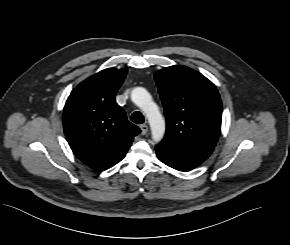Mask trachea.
Instances as JSON below:
<instances>
[{"instance_id": "trachea-1", "label": "trachea", "mask_w": 290, "mask_h": 245, "mask_svg": "<svg viewBox=\"0 0 290 245\" xmlns=\"http://www.w3.org/2000/svg\"><path fill=\"white\" fill-rule=\"evenodd\" d=\"M130 120L136 124H142L144 123V116L141 112L136 111L131 115Z\"/></svg>"}]
</instances>
